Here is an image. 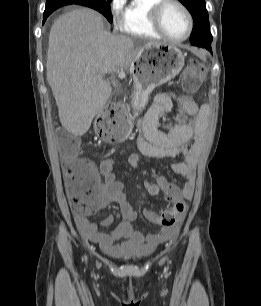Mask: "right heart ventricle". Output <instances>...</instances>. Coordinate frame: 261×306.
I'll use <instances>...</instances> for the list:
<instances>
[{"label":"right heart ventricle","instance_id":"right-heart-ventricle-1","mask_svg":"<svg viewBox=\"0 0 261 306\" xmlns=\"http://www.w3.org/2000/svg\"><path fill=\"white\" fill-rule=\"evenodd\" d=\"M159 0H129L123 3L120 29L123 33L145 39L162 36L153 28L150 11Z\"/></svg>","mask_w":261,"mask_h":306}]
</instances>
